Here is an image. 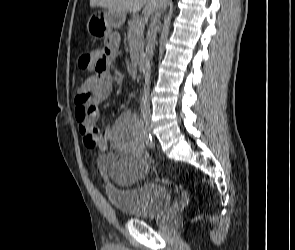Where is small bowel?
Instances as JSON below:
<instances>
[{
  "label": "small bowel",
  "instance_id": "1",
  "mask_svg": "<svg viewBox=\"0 0 295 250\" xmlns=\"http://www.w3.org/2000/svg\"><path fill=\"white\" fill-rule=\"evenodd\" d=\"M120 37L110 34L101 50L91 54L92 74L80 84L75 92V104L89 109L88 118L78 126L83 144L88 149L105 151L111 145L122 155L110 170L111 178L119 185L126 186L141 178L149 168V159L143 155L141 128L133 113L123 114L113 127L98 128L99 111L97 105L104 101L113 88L110 73L111 63L118 56Z\"/></svg>",
  "mask_w": 295,
  "mask_h": 250
}]
</instances>
